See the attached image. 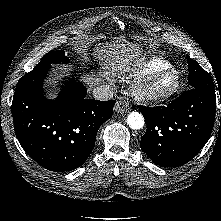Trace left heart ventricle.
<instances>
[{
	"label": "left heart ventricle",
	"instance_id": "b2bd125f",
	"mask_svg": "<svg viewBox=\"0 0 221 221\" xmlns=\"http://www.w3.org/2000/svg\"><path fill=\"white\" fill-rule=\"evenodd\" d=\"M174 82V77L171 75L163 76L157 82V86L160 88H167L171 86Z\"/></svg>",
	"mask_w": 221,
	"mask_h": 221
}]
</instances>
